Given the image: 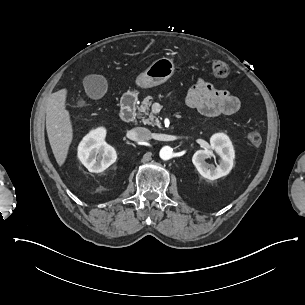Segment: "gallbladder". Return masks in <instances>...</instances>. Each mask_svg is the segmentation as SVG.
Masks as SVG:
<instances>
[{
  "label": "gallbladder",
  "instance_id": "gallbladder-1",
  "mask_svg": "<svg viewBox=\"0 0 305 305\" xmlns=\"http://www.w3.org/2000/svg\"><path fill=\"white\" fill-rule=\"evenodd\" d=\"M86 94L92 99H100L108 89V83L102 75H88L83 80Z\"/></svg>",
  "mask_w": 305,
  "mask_h": 305
}]
</instances>
